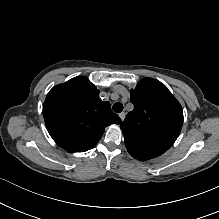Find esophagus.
I'll return each mask as SVG.
<instances>
[{"label": "esophagus", "mask_w": 219, "mask_h": 219, "mask_svg": "<svg viewBox=\"0 0 219 219\" xmlns=\"http://www.w3.org/2000/svg\"><path fill=\"white\" fill-rule=\"evenodd\" d=\"M119 117H120V118H121V120L123 121V120H124V118H125V113H124V112L120 113V114H119Z\"/></svg>", "instance_id": "1"}]
</instances>
